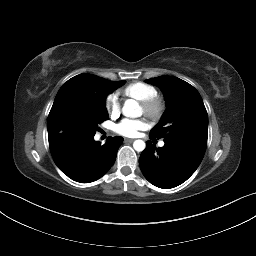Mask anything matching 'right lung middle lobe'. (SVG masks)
<instances>
[{
    "label": "right lung middle lobe",
    "mask_w": 256,
    "mask_h": 256,
    "mask_svg": "<svg viewBox=\"0 0 256 256\" xmlns=\"http://www.w3.org/2000/svg\"><path fill=\"white\" fill-rule=\"evenodd\" d=\"M125 81L101 80L89 99L82 104H68L60 108L53 120V132H70L79 135H93L98 125L107 120L106 96L119 88Z\"/></svg>",
    "instance_id": "1"
}]
</instances>
